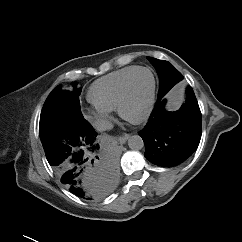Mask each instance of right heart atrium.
Segmentation results:
<instances>
[{
	"mask_svg": "<svg viewBox=\"0 0 242 242\" xmlns=\"http://www.w3.org/2000/svg\"><path fill=\"white\" fill-rule=\"evenodd\" d=\"M86 116L94 122L99 128L108 126L111 119V111L106 109H99L97 107L88 108L85 112Z\"/></svg>",
	"mask_w": 242,
	"mask_h": 242,
	"instance_id": "1",
	"label": "right heart atrium"
}]
</instances>
